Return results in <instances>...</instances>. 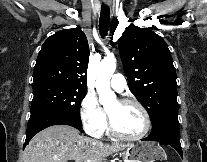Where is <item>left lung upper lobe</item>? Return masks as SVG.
<instances>
[{
	"mask_svg": "<svg viewBox=\"0 0 207 162\" xmlns=\"http://www.w3.org/2000/svg\"><path fill=\"white\" fill-rule=\"evenodd\" d=\"M119 53L130 90L152 124L178 114L176 72L166 42L150 29L130 25L119 39Z\"/></svg>",
	"mask_w": 207,
	"mask_h": 162,
	"instance_id": "1",
	"label": "left lung upper lobe"
}]
</instances>
